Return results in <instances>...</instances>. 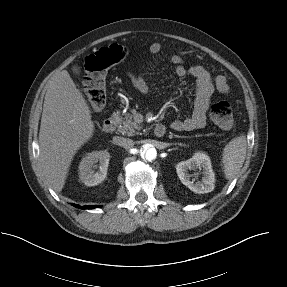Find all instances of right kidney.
<instances>
[{
	"label": "right kidney",
	"instance_id": "ca27d5eb",
	"mask_svg": "<svg viewBox=\"0 0 287 287\" xmlns=\"http://www.w3.org/2000/svg\"><path fill=\"white\" fill-rule=\"evenodd\" d=\"M110 154L107 151H93L88 153L79 164V179L86 186H95L101 183L107 175ZM99 161V170L94 171Z\"/></svg>",
	"mask_w": 287,
	"mask_h": 287
}]
</instances>
